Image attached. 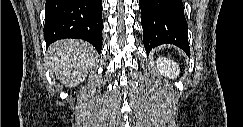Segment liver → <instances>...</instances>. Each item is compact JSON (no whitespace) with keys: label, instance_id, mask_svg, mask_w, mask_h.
<instances>
[{"label":"liver","instance_id":"1","mask_svg":"<svg viewBox=\"0 0 243 127\" xmlns=\"http://www.w3.org/2000/svg\"><path fill=\"white\" fill-rule=\"evenodd\" d=\"M48 54L51 68L67 87H75L83 82L96 58V51L89 43L74 39L53 43Z\"/></svg>","mask_w":243,"mask_h":127}]
</instances>
